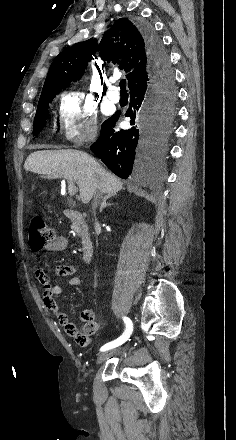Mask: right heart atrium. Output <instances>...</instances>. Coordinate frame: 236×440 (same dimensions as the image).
I'll list each match as a JSON object with an SVG mask.
<instances>
[{"label": "right heart atrium", "mask_w": 236, "mask_h": 440, "mask_svg": "<svg viewBox=\"0 0 236 440\" xmlns=\"http://www.w3.org/2000/svg\"><path fill=\"white\" fill-rule=\"evenodd\" d=\"M57 118L63 136L75 144L97 136L96 109L79 90L63 91L58 97Z\"/></svg>", "instance_id": "right-heart-atrium-1"}]
</instances>
